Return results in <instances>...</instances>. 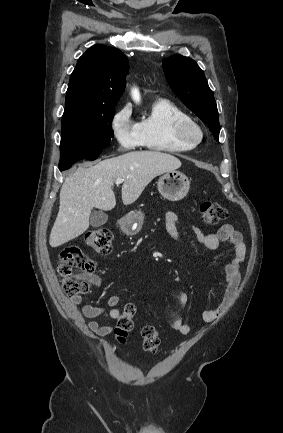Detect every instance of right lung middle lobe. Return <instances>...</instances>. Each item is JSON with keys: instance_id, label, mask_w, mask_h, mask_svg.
<instances>
[{"instance_id": "right-lung-middle-lobe-1", "label": "right lung middle lobe", "mask_w": 283, "mask_h": 433, "mask_svg": "<svg viewBox=\"0 0 283 433\" xmlns=\"http://www.w3.org/2000/svg\"><path fill=\"white\" fill-rule=\"evenodd\" d=\"M114 106L80 105L65 109L60 151L101 153L114 136L111 126Z\"/></svg>"}]
</instances>
